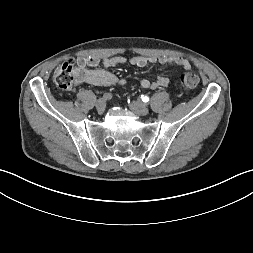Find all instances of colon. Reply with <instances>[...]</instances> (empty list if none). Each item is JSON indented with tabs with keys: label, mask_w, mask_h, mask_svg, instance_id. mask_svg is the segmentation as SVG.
Segmentation results:
<instances>
[{
	"label": "colon",
	"mask_w": 253,
	"mask_h": 253,
	"mask_svg": "<svg viewBox=\"0 0 253 253\" xmlns=\"http://www.w3.org/2000/svg\"><path fill=\"white\" fill-rule=\"evenodd\" d=\"M79 66L73 58L66 59L55 71V85L65 91H71L74 88L75 73ZM199 75L195 72H186L180 76V83L185 89L195 88L199 84Z\"/></svg>",
	"instance_id": "1"
}]
</instances>
